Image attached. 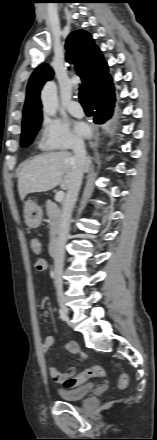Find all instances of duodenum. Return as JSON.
Instances as JSON below:
<instances>
[{
	"mask_svg": "<svg viewBox=\"0 0 157 440\" xmlns=\"http://www.w3.org/2000/svg\"><path fill=\"white\" fill-rule=\"evenodd\" d=\"M49 254H50V256L52 257V258H56L57 257V255H58V251H57V242H56V240L54 239V240H52L51 242H50V245H49Z\"/></svg>",
	"mask_w": 157,
	"mask_h": 440,
	"instance_id": "410a0bca",
	"label": "duodenum"
}]
</instances>
